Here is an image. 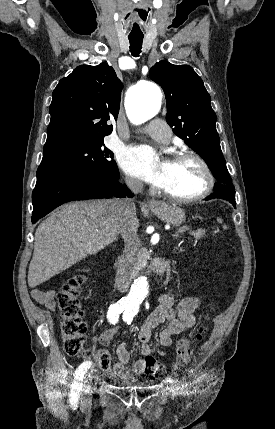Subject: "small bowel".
Masks as SVG:
<instances>
[{
    "label": "small bowel",
    "instance_id": "1",
    "mask_svg": "<svg viewBox=\"0 0 275 429\" xmlns=\"http://www.w3.org/2000/svg\"><path fill=\"white\" fill-rule=\"evenodd\" d=\"M32 296L38 303L54 309V291L36 289L32 292ZM200 303V297L186 296L175 304L174 296L170 291L162 293L158 299V306L148 315L138 334L142 358L138 359L132 368H129L130 354L126 343H120L116 350L117 361L109 368V375L133 380L136 376L146 372L148 359L154 358L156 354L163 355L164 348L171 345L173 336L195 325L194 313ZM160 324H165V327L159 333L158 345H151L152 333ZM119 333V327L114 326L101 333L98 341L107 344Z\"/></svg>",
    "mask_w": 275,
    "mask_h": 429
}]
</instances>
